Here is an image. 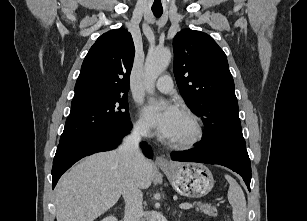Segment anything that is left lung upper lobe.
I'll use <instances>...</instances> for the list:
<instances>
[{"mask_svg": "<svg viewBox=\"0 0 307 221\" xmlns=\"http://www.w3.org/2000/svg\"><path fill=\"white\" fill-rule=\"evenodd\" d=\"M173 50L178 88L206 127L202 140L217 138L246 147L234 81L223 50L208 34L191 29L176 34Z\"/></svg>", "mask_w": 307, "mask_h": 221, "instance_id": "1", "label": "left lung upper lobe"}]
</instances>
